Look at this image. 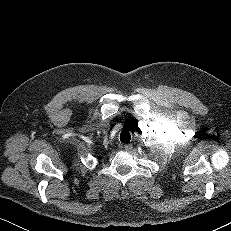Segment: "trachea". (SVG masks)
<instances>
[{
    "label": "trachea",
    "instance_id": "1",
    "mask_svg": "<svg viewBox=\"0 0 231 231\" xmlns=\"http://www.w3.org/2000/svg\"><path fill=\"white\" fill-rule=\"evenodd\" d=\"M131 140V135L128 130H123L120 134V141L122 143H129Z\"/></svg>",
    "mask_w": 231,
    "mask_h": 231
}]
</instances>
